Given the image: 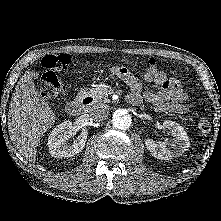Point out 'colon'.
I'll list each match as a JSON object with an SVG mask.
<instances>
[{"label":"colon","instance_id":"obj_1","mask_svg":"<svg viewBox=\"0 0 221 221\" xmlns=\"http://www.w3.org/2000/svg\"><path fill=\"white\" fill-rule=\"evenodd\" d=\"M72 58L69 54L46 55L42 59V66L45 73L41 77L40 92L43 97L50 100H60L66 95L67 86L55 74V71L66 70L71 64ZM147 76L163 82V76L157 70L155 59L149 60V69ZM212 123L207 110H202L198 119V129L201 133L206 134L211 131Z\"/></svg>","mask_w":221,"mask_h":221}]
</instances>
